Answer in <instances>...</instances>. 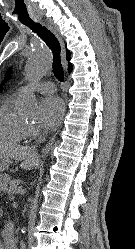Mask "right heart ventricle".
I'll return each mask as SVG.
<instances>
[{"mask_svg": "<svg viewBox=\"0 0 135 249\" xmlns=\"http://www.w3.org/2000/svg\"><path fill=\"white\" fill-rule=\"evenodd\" d=\"M18 98L13 94L0 103V142L18 143L28 136V127L15 114Z\"/></svg>", "mask_w": 135, "mask_h": 249, "instance_id": "obj_1", "label": "right heart ventricle"}]
</instances>
